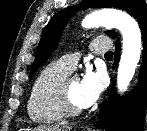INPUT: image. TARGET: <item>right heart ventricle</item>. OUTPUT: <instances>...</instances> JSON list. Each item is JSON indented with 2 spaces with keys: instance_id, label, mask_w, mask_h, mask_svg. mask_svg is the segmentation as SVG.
Here are the masks:
<instances>
[{
  "instance_id": "right-heart-ventricle-1",
  "label": "right heart ventricle",
  "mask_w": 147,
  "mask_h": 131,
  "mask_svg": "<svg viewBox=\"0 0 147 131\" xmlns=\"http://www.w3.org/2000/svg\"><path fill=\"white\" fill-rule=\"evenodd\" d=\"M70 73L59 61L46 65L36 76L27 101V113L36 123L52 124L63 120L57 102V87Z\"/></svg>"
}]
</instances>
